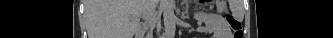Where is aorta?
<instances>
[{
    "label": "aorta",
    "mask_w": 333,
    "mask_h": 38,
    "mask_svg": "<svg viewBox=\"0 0 333 38\" xmlns=\"http://www.w3.org/2000/svg\"><path fill=\"white\" fill-rule=\"evenodd\" d=\"M163 19L165 26V34L168 38H174L176 32L177 17L174 13L175 0H161Z\"/></svg>",
    "instance_id": "obj_1"
}]
</instances>
